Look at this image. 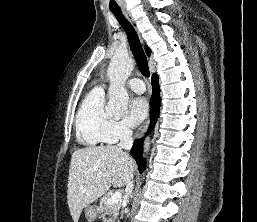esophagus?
<instances>
[{"mask_svg":"<svg viewBox=\"0 0 257 222\" xmlns=\"http://www.w3.org/2000/svg\"><path fill=\"white\" fill-rule=\"evenodd\" d=\"M123 14L125 15V17L127 18V20L133 25V27L136 29V31L138 32L139 34V31H138V27L136 25V22L135 20L133 19V17L131 16L130 13L128 12H123ZM149 125V118H147L144 123L139 127V129L137 130L136 132V135H135V138H139L143 135V133L146 131L147 127Z\"/></svg>","mask_w":257,"mask_h":222,"instance_id":"esophagus-1","label":"esophagus"}]
</instances>
